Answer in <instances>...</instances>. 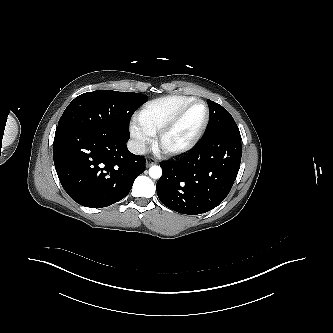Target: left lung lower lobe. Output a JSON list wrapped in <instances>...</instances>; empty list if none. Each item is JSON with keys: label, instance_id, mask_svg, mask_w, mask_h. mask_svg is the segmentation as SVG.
I'll return each instance as SVG.
<instances>
[{"label": "left lung lower lobe", "instance_id": "1", "mask_svg": "<svg viewBox=\"0 0 333 333\" xmlns=\"http://www.w3.org/2000/svg\"><path fill=\"white\" fill-rule=\"evenodd\" d=\"M241 154L240 133L203 136L184 158L160 164L163 175L156 185L160 201L183 214L212 210L229 194Z\"/></svg>", "mask_w": 333, "mask_h": 333}]
</instances>
